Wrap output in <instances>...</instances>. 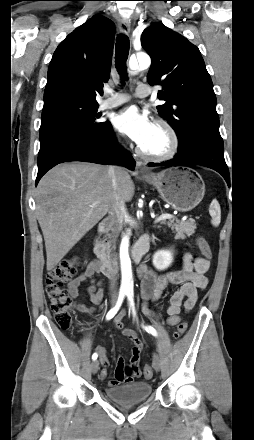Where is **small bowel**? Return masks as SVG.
<instances>
[{"instance_id":"c3829d8e","label":"small bowel","mask_w":254,"mask_h":440,"mask_svg":"<svg viewBox=\"0 0 254 440\" xmlns=\"http://www.w3.org/2000/svg\"><path fill=\"white\" fill-rule=\"evenodd\" d=\"M209 268V262L202 257L193 258L190 253H185L182 259V267L178 270L169 271L164 274H158L151 268L142 266L138 271L141 283V296L143 300L142 312L147 316L157 315L151 304L156 303L163 290L170 284L179 285V288L170 298L166 309L167 322L169 325H176L180 320L181 308L190 311L196 304L198 293L208 286L206 272ZM100 271L99 262L93 261L77 277L68 284V293L75 299L79 294L82 284L89 282L87 292L90 300L94 304H100L103 301L102 282L98 279ZM74 308L82 313H93V308H88L81 302H73ZM124 313H121L115 319V326L131 342V355L129 358V367L135 376L140 375V357L143 350V343L136 332L126 328L122 322ZM103 369L101 377L107 375L109 359L106 356V350L103 346L97 347ZM131 382V379L125 378V362L122 357L117 361L114 372V378L108 381V387L119 386Z\"/></svg>"}]
</instances>
